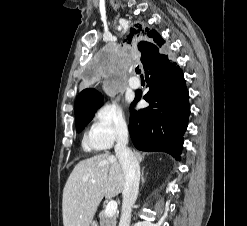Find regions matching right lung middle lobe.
I'll return each instance as SVG.
<instances>
[{
    "label": "right lung middle lobe",
    "instance_id": "1",
    "mask_svg": "<svg viewBox=\"0 0 247 226\" xmlns=\"http://www.w3.org/2000/svg\"><path fill=\"white\" fill-rule=\"evenodd\" d=\"M101 103H102V97L101 96L96 97L87 104L84 113L76 117V128L78 132H81L82 129L91 121V119L94 116V113L101 106Z\"/></svg>",
    "mask_w": 247,
    "mask_h": 226
}]
</instances>
